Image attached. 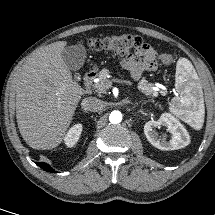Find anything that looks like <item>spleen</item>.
<instances>
[{
	"instance_id": "3e777b00",
	"label": "spleen",
	"mask_w": 215,
	"mask_h": 215,
	"mask_svg": "<svg viewBox=\"0 0 215 215\" xmlns=\"http://www.w3.org/2000/svg\"><path fill=\"white\" fill-rule=\"evenodd\" d=\"M197 74L190 61L180 58L176 66V87L180 94L174 97L170 111L193 127L200 128L204 119V100L197 89Z\"/></svg>"
}]
</instances>
